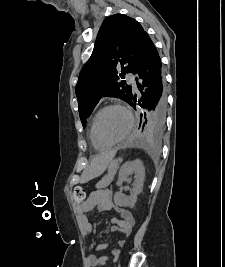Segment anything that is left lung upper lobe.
<instances>
[{"mask_svg": "<svg viewBox=\"0 0 225 267\" xmlns=\"http://www.w3.org/2000/svg\"><path fill=\"white\" fill-rule=\"evenodd\" d=\"M146 35L138 21L123 14L109 16L103 21L92 55L80 72L75 90L83 126L103 96L130 103L132 87L120 78L123 79L125 73H134ZM120 67L122 73L118 74ZM143 116L146 131L156 135L163 131L165 121L158 123L147 112Z\"/></svg>", "mask_w": 225, "mask_h": 267, "instance_id": "1", "label": "left lung upper lobe"}]
</instances>
